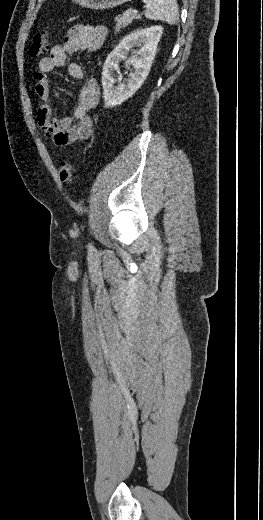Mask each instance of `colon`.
Instances as JSON below:
<instances>
[{"label": "colon", "mask_w": 263, "mask_h": 520, "mask_svg": "<svg viewBox=\"0 0 263 520\" xmlns=\"http://www.w3.org/2000/svg\"><path fill=\"white\" fill-rule=\"evenodd\" d=\"M50 47V34L48 31L37 32L31 42L29 55L32 58L40 57L45 54ZM58 175L61 181L71 183L75 176V168L66 161L59 162L57 166Z\"/></svg>", "instance_id": "1"}]
</instances>
